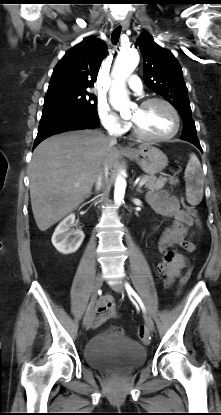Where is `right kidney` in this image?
<instances>
[{
    "instance_id": "obj_1",
    "label": "right kidney",
    "mask_w": 221,
    "mask_h": 415,
    "mask_svg": "<svg viewBox=\"0 0 221 415\" xmlns=\"http://www.w3.org/2000/svg\"><path fill=\"white\" fill-rule=\"evenodd\" d=\"M75 222V214L67 216L55 229L52 236V244L63 254H70L76 252L84 240V233L82 230L70 231V227ZM74 236L72 238L71 236Z\"/></svg>"
}]
</instances>
